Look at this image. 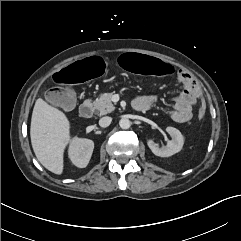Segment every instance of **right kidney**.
<instances>
[{
	"instance_id": "obj_1",
	"label": "right kidney",
	"mask_w": 241,
	"mask_h": 241,
	"mask_svg": "<svg viewBox=\"0 0 241 241\" xmlns=\"http://www.w3.org/2000/svg\"><path fill=\"white\" fill-rule=\"evenodd\" d=\"M93 149L92 140L74 137L70 143L68 155L75 166L85 168L91 159Z\"/></svg>"
}]
</instances>
